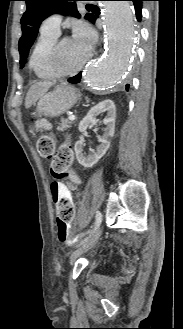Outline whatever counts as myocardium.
<instances>
[{"instance_id":"1","label":"myocardium","mask_w":183,"mask_h":329,"mask_svg":"<svg viewBox=\"0 0 183 329\" xmlns=\"http://www.w3.org/2000/svg\"><path fill=\"white\" fill-rule=\"evenodd\" d=\"M69 39L67 37L64 38H60L58 40H56V42L54 43L50 54H49V66L50 69L53 73L54 76L56 77H66V76H71L74 75L78 72H80L85 66L86 64L90 61L91 57H92V53L90 52L87 56V58L85 59L84 62H82L80 65L69 69V70H63L60 68V60H61V48H62V43L66 40Z\"/></svg>"}]
</instances>
